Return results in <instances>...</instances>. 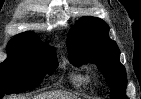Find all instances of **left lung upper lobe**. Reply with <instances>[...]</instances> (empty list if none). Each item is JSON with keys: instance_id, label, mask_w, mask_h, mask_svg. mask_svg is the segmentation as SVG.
Here are the masks:
<instances>
[{"instance_id": "1", "label": "left lung upper lobe", "mask_w": 141, "mask_h": 99, "mask_svg": "<svg viewBox=\"0 0 141 99\" xmlns=\"http://www.w3.org/2000/svg\"><path fill=\"white\" fill-rule=\"evenodd\" d=\"M107 24L96 17H83L68 34L67 47L70 60L95 63L110 85L112 99H127L126 72L119 61L117 44L108 37Z\"/></svg>"}]
</instances>
